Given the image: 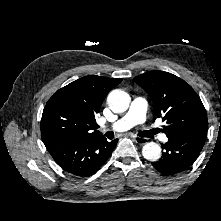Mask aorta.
<instances>
[{"label":"aorta","instance_id":"762f6f07","mask_svg":"<svg viewBox=\"0 0 221 221\" xmlns=\"http://www.w3.org/2000/svg\"><path fill=\"white\" fill-rule=\"evenodd\" d=\"M107 103L114 112H124L130 104V96L120 89L113 90L107 97ZM142 155L146 160L156 162L161 157V148L155 142H148L142 148Z\"/></svg>","mask_w":221,"mask_h":221}]
</instances>
